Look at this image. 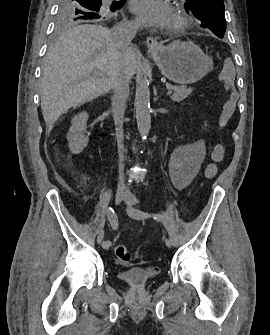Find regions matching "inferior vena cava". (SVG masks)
I'll list each match as a JSON object with an SVG mask.
<instances>
[{"mask_svg":"<svg viewBox=\"0 0 270 335\" xmlns=\"http://www.w3.org/2000/svg\"><path fill=\"white\" fill-rule=\"evenodd\" d=\"M137 30V24H133V22H122V24L114 26L111 32L118 46H126V48H128L129 44H131V40L135 38ZM111 82L113 90L112 106H115V108L116 106L124 108L129 94L130 78L126 76L125 72H120V70H118V72H115V74L111 76ZM116 134L119 154V185L120 187H124V164H122V162H124L123 122H118L116 126Z\"/></svg>","mask_w":270,"mask_h":335,"instance_id":"602c4592","label":"inferior vena cava"}]
</instances>
